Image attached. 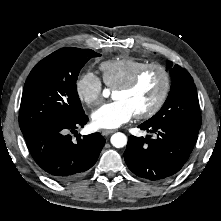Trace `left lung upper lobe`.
<instances>
[{
	"mask_svg": "<svg viewBox=\"0 0 221 221\" xmlns=\"http://www.w3.org/2000/svg\"><path fill=\"white\" fill-rule=\"evenodd\" d=\"M172 66V62H167ZM172 84L164 106L152 118L145 121L151 124L174 123L181 128L198 134L201 114L197 90L193 78L184 68L175 65L170 70Z\"/></svg>",
	"mask_w": 221,
	"mask_h": 221,
	"instance_id": "left-lung-upper-lobe-1",
	"label": "left lung upper lobe"
}]
</instances>
